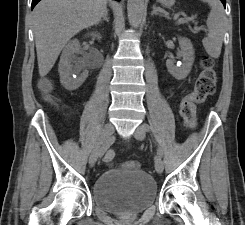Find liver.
I'll return each mask as SVG.
<instances>
[{
  "label": "liver",
  "mask_w": 245,
  "mask_h": 225,
  "mask_svg": "<svg viewBox=\"0 0 245 225\" xmlns=\"http://www.w3.org/2000/svg\"><path fill=\"white\" fill-rule=\"evenodd\" d=\"M107 0H42L33 10V31L40 77L54 66L67 42L99 23Z\"/></svg>",
  "instance_id": "liver-1"
}]
</instances>
